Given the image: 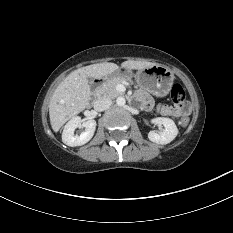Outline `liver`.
Returning a JSON list of instances; mask_svg holds the SVG:
<instances>
[{
    "label": "liver",
    "instance_id": "liver-1",
    "mask_svg": "<svg viewBox=\"0 0 233 233\" xmlns=\"http://www.w3.org/2000/svg\"><path fill=\"white\" fill-rule=\"evenodd\" d=\"M153 65L157 64L128 60L121 67L142 70ZM118 69L117 64L106 62L85 66L69 74L56 88L50 100L49 117L54 132H58L69 119L88 105L91 94L88 78L101 79Z\"/></svg>",
    "mask_w": 233,
    "mask_h": 233
}]
</instances>
